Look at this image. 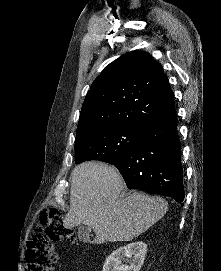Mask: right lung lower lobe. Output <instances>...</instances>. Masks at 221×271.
Wrapping results in <instances>:
<instances>
[{"mask_svg":"<svg viewBox=\"0 0 221 271\" xmlns=\"http://www.w3.org/2000/svg\"><path fill=\"white\" fill-rule=\"evenodd\" d=\"M180 151L175 112L147 125L137 144L112 164L119 169L129 189L166 194L183 205Z\"/></svg>","mask_w":221,"mask_h":271,"instance_id":"98d812e1","label":"right lung lower lobe"}]
</instances>
